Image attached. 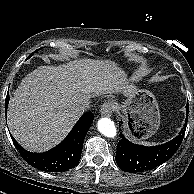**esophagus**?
Returning <instances> with one entry per match:
<instances>
[{"label":"esophagus","instance_id":"obj_1","mask_svg":"<svg viewBox=\"0 0 194 194\" xmlns=\"http://www.w3.org/2000/svg\"><path fill=\"white\" fill-rule=\"evenodd\" d=\"M114 111V104L111 101H106L103 103L100 113L103 116H111Z\"/></svg>","mask_w":194,"mask_h":194}]
</instances>
